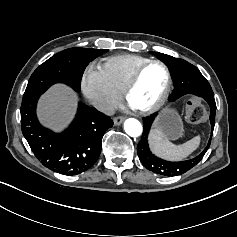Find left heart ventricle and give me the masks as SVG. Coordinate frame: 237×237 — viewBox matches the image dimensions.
<instances>
[{"instance_id":"1","label":"left heart ventricle","mask_w":237,"mask_h":237,"mask_svg":"<svg viewBox=\"0 0 237 237\" xmlns=\"http://www.w3.org/2000/svg\"><path fill=\"white\" fill-rule=\"evenodd\" d=\"M165 84L166 73L164 69L158 64L150 65L143 72L130 95V107L134 110H141L152 106L160 98Z\"/></svg>"}]
</instances>
